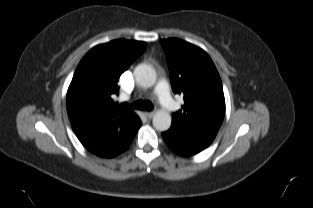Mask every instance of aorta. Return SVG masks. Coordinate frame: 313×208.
<instances>
[{"mask_svg":"<svg viewBox=\"0 0 313 208\" xmlns=\"http://www.w3.org/2000/svg\"><path fill=\"white\" fill-rule=\"evenodd\" d=\"M134 78L137 84L144 88L152 87L156 82V72L147 64H140L134 69ZM171 116L165 110H158L152 120L153 126L158 131H166L171 126Z\"/></svg>","mask_w":313,"mask_h":208,"instance_id":"1","label":"aorta"}]
</instances>
